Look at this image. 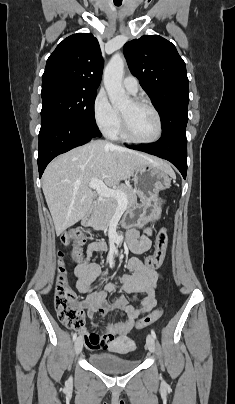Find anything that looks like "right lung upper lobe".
<instances>
[{"label":"right lung upper lobe","mask_w":235,"mask_h":404,"mask_svg":"<svg viewBox=\"0 0 235 404\" xmlns=\"http://www.w3.org/2000/svg\"><path fill=\"white\" fill-rule=\"evenodd\" d=\"M103 60L97 39L77 33L61 41L47 60L42 85L65 84L96 91L102 76Z\"/></svg>","instance_id":"1"}]
</instances>
